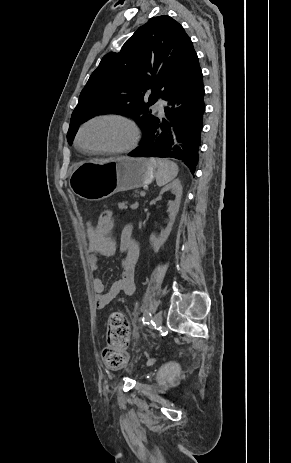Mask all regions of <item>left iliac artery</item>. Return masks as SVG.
Instances as JSON below:
<instances>
[{
    "label": "left iliac artery",
    "instance_id": "obj_1",
    "mask_svg": "<svg viewBox=\"0 0 291 463\" xmlns=\"http://www.w3.org/2000/svg\"><path fill=\"white\" fill-rule=\"evenodd\" d=\"M150 319H151V314L148 311H145L144 316L142 318L143 323L144 324H149Z\"/></svg>",
    "mask_w": 291,
    "mask_h": 463
}]
</instances>
